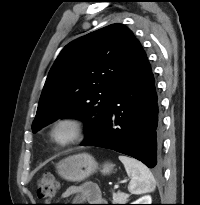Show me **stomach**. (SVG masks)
Segmentation results:
<instances>
[{
  "mask_svg": "<svg viewBox=\"0 0 200 205\" xmlns=\"http://www.w3.org/2000/svg\"><path fill=\"white\" fill-rule=\"evenodd\" d=\"M58 174L68 181H82L92 175L98 169L95 159L87 153H80L61 160L56 166ZM113 170V164L105 163L101 172L109 174Z\"/></svg>",
  "mask_w": 200,
  "mask_h": 205,
  "instance_id": "0dacf381",
  "label": "stomach"
}]
</instances>
